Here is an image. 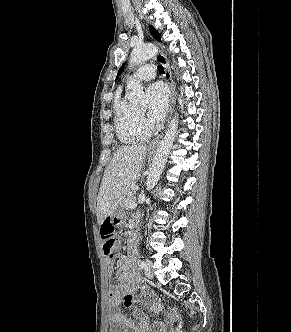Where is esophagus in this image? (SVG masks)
<instances>
[{
	"instance_id": "obj_1",
	"label": "esophagus",
	"mask_w": 291,
	"mask_h": 332,
	"mask_svg": "<svg viewBox=\"0 0 291 332\" xmlns=\"http://www.w3.org/2000/svg\"><path fill=\"white\" fill-rule=\"evenodd\" d=\"M155 59L158 63L163 65V67L165 69V80L170 88V107H169V113H168V119H167V121H169V119L171 118L172 112H173V108H174L175 87H174V83L172 80L170 67H169V64H168L165 56L161 52H158L155 56ZM162 136H163V134H160L155 139H153L148 145L149 148L157 147L158 144L160 143Z\"/></svg>"
}]
</instances>
